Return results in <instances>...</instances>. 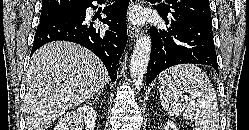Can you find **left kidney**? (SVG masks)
<instances>
[{
	"instance_id": "5707ae66",
	"label": "left kidney",
	"mask_w": 249,
	"mask_h": 130,
	"mask_svg": "<svg viewBox=\"0 0 249 130\" xmlns=\"http://www.w3.org/2000/svg\"><path fill=\"white\" fill-rule=\"evenodd\" d=\"M163 129L164 130H178L177 126L173 122H171V121H167L164 124Z\"/></svg>"
}]
</instances>
